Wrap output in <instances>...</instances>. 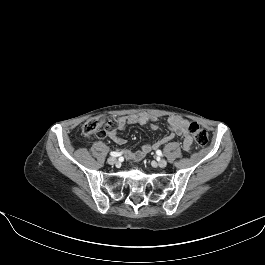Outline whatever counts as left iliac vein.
<instances>
[{
    "mask_svg": "<svg viewBox=\"0 0 265 265\" xmlns=\"http://www.w3.org/2000/svg\"><path fill=\"white\" fill-rule=\"evenodd\" d=\"M158 166L161 167V168H164L167 166V161L164 160V159H160L158 162H157Z\"/></svg>",
    "mask_w": 265,
    "mask_h": 265,
    "instance_id": "obj_1",
    "label": "left iliac vein"
}]
</instances>
